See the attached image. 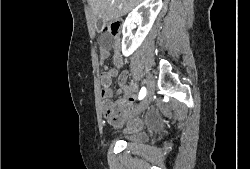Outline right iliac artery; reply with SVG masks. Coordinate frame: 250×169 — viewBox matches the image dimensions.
<instances>
[{
    "label": "right iliac artery",
    "mask_w": 250,
    "mask_h": 169,
    "mask_svg": "<svg viewBox=\"0 0 250 169\" xmlns=\"http://www.w3.org/2000/svg\"><path fill=\"white\" fill-rule=\"evenodd\" d=\"M146 96V88L142 87L139 93V100L143 99Z\"/></svg>",
    "instance_id": "82829eb1"
}]
</instances>
